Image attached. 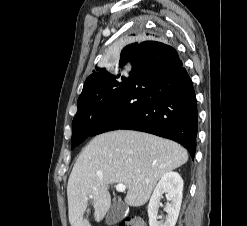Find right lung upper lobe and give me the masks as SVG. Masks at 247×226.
<instances>
[{"label":"right lung upper lobe","instance_id":"obj_1","mask_svg":"<svg viewBox=\"0 0 247 226\" xmlns=\"http://www.w3.org/2000/svg\"><path fill=\"white\" fill-rule=\"evenodd\" d=\"M142 37L144 38H148V39H154V38H158L159 36L155 35V34H151V33H144L142 34ZM138 43H133L130 45H127L123 50L122 53L124 55L129 56L130 58L132 57L135 48L137 47ZM101 71L100 68H96L95 70H93V74H91L85 81L84 83V87L82 90V93H84L85 91H87L88 89H90L92 86L95 85V83L98 81L99 78V72ZM81 93V94H82Z\"/></svg>","mask_w":247,"mask_h":226}]
</instances>
